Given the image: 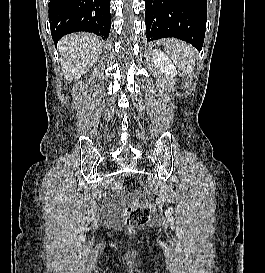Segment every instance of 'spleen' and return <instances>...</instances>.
Wrapping results in <instances>:
<instances>
[{
	"label": "spleen",
	"mask_w": 265,
	"mask_h": 273,
	"mask_svg": "<svg viewBox=\"0 0 265 273\" xmlns=\"http://www.w3.org/2000/svg\"><path fill=\"white\" fill-rule=\"evenodd\" d=\"M164 46L178 68L189 73L195 64L194 49L181 41L174 40H166Z\"/></svg>",
	"instance_id": "3e777b00"
}]
</instances>
